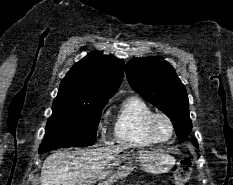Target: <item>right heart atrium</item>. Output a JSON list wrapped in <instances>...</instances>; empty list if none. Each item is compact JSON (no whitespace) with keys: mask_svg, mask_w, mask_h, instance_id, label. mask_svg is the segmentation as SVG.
<instances>
[{"mask_svg":"<svg viewBox=\"0 0 233 185\" xmlns=\"http://www.w3.org/2000/svg\"><path fill=\"white\" fill-rule=\"evenodd\" d=\"M97 128H98L99 132H100L102 135H104V133H105V127H104V122H103V120H100V121L98 122Z\"/></svg>","mask_w":233,"mask_h":185,"instance_id":"1","label":"right heart atrium"}]
</instances>
